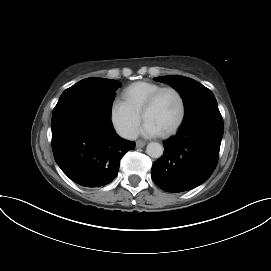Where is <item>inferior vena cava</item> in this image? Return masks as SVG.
Segmentation results:
<instances>
[{
    "instance_id": "1",
    "label": "inferior vena cava",
    "mask_w": 271,
    "mask_h": 271,
    "mask_svg": "<svg viewBox=\"0 0 271 271\" xmlns=\"http://www.w3.org/2000/svg\"><path fill=\"white\" fill-rule=\"evenodd\" d=\"M136 137H137V134H136V133H133V134L130 135L129 138L135 139Z\"/></svg>"
}]
</instances>
